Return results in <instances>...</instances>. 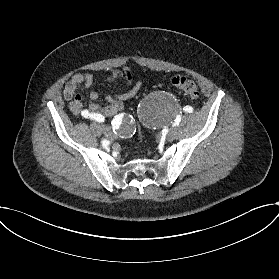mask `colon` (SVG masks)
I'll use <instances>...</instances> for the list:
<instances>
[{"label": "colon", "mask_w": 279, "mask_h": 279, "mask_svg": "<svg viewBox=\"0 0 279 279\" xmlns=\"http://www.w3.org/2000/svg\"><path fill=\"white\" fill-rule=\"evenodd\" d=\"M173 87L178 89L184 94H187L193 98L198 97L199 89L198 85L192 79L185 76H175L171 79Z\"/></svg>", "instance_id": "5ec220e1"}]
</instances>
